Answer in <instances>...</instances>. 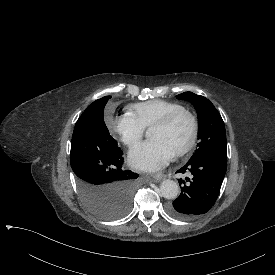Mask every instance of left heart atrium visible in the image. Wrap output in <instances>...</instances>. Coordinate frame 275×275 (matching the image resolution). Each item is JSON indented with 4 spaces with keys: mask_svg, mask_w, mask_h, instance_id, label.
<instances>
[{
    "mask_svg": "<svg viewBox=\"0 0 275 275\" xmlns=\"http://www.w3.org/2000/svg\"><path fill=\"white\" fill-rule=\"evenodd\" d=\"M174 156V151L163 141L152 139L130 155L133 167L142 170H157L166 166Z\"/></svg>",
    "mask_w": 275,
    "mask_h": 275,
    "instance_id": "left-heart-atrium-1",
    "label": "left heart atrium"
}]
</instances>
